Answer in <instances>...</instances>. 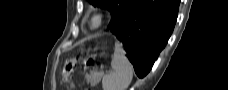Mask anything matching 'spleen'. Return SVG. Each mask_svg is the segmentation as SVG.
<instances>
[{
  "mask_svg": "<svg viewBox=\"0 0 228 90\" xmlns=\"http://www.w3.org/2000/svg\"><path fill=\"white\" fill-rule=\"evenodd\" d=\"M111 67L113 71L102 79L103 90H126L132 81L133 67L118 42H115Z\"/></svg>",
  "mask_w": 228,
  "mask_h": 90,
  "instance_id": "1",
  "label": "spleen"
}]
</instances>
